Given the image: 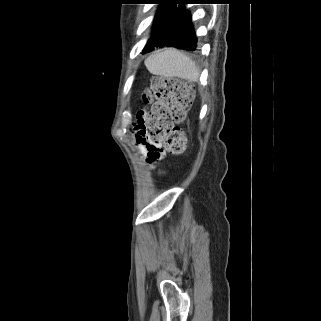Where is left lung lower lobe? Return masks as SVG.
Instances as JSON below:
<instances>
[{
    "label": "left lung lower lobe",
    "mask_w": 321,
    "mask_h": 321,
    "mask_svg": "<svg viewBox=\"0 0 321 321\" xmlns=\"http://www.w3.org/2000/svg\"><path fill=\"white\" fill-rule=\"evenodd\" d=\"M196 0H181L179 6L170 18L163 37L145 47L143 53L153 50V47H177L189 51H195L197 38L191 21V14L186 9V4H192Z\"/></svg>",
    "instance_id": "obj_1"
}]
</instances>
